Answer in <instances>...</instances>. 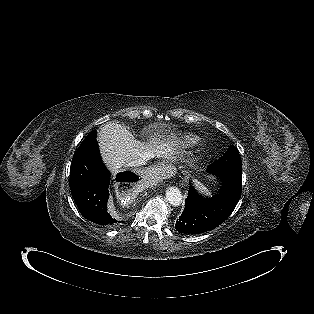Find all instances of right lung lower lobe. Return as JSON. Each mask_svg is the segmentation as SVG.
Instances as JSON below:
<instances>
[{
	"label": "right lung lower lobe",
	"mask_w": 314,
	"mask_h": 314,
	"mask_svg": "<svg viewBox=\"0 0 314 314\" xmlns=\"http://www.w3.org/2000/svg\"><path fill=\"white\" fill-rule=\"evenodd\" d=\"M132 172L119 173L118 182L136 181ZM110 172L104 166L97 141L78 149L70 168V189L73 199L87 220L104 227H115L120 219L112 217L107 210ZM125 184V183H124Z\"/></svg>",
	"instance_id": "1"
}]
</instances>
